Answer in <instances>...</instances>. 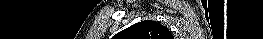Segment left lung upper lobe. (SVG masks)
<instances>
[{"mask_svg": "<svg viewBox=\"0 0 263 39\" xmlns=\"http://www.w3.org/2000/svg\"><path fill=\"white\" fill-rule=\"evenodd\" d=\"M117 39H174L171 32L156 21L136 23L118 34Z\"/></svg>", "mask_w": 263, "mask_h": 39, "instance_id": "obj_1", "label": "left lung upper lobe"}]
</instances>
